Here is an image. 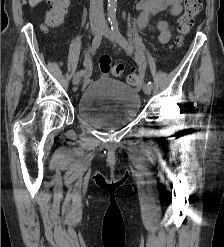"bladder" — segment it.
Returning <instances> with one entry per match:
<instances>
[{"mask_svg":"<svg viewBox=\"0 0 224 247\" xmlns=\"http://www.w3.org/2000/svg\"><path fill=\"white\" fill-rule=\"evenodd\" d=\"M139 109L138 93L110 77L90 83L76 105L77 113L85 123L103 131H113L130 123Z\"/></svg>","mask_w":224,"mask_h":247,"instance_id":"1","label":"bladder"}]
</instances>
